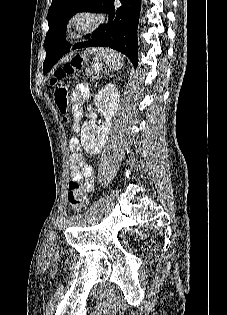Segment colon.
I'll return each instance as SVG.
<instances>
[{
    "instance_id": "obj_1",
    "label": "colon",
    "mask_w": 227,
    "mask_h": 315,
    "mask_svg": "<svg viewBox=\"0 0 227 315\" xmlns=\"http://www.w3.org/2000/svg\"><path fill=\"white\" fill-rule=\"evenodd\" d=\"M84 62V58L77 56L70 63L57 69L50 79V85L54 88L55 103L64 115L65 122L69 121L68 113L70 111L68 103L69 87L66 81L82 69ZM67 198L69 206L75 211L83 210L89 203V196L78 181L70 182Z\"/></svg>"
}]
</instances>
